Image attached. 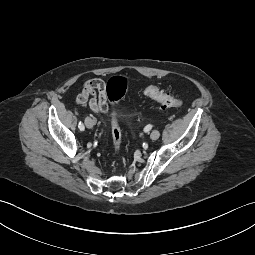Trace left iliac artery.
I'll return each instance as SVG.
<instances>
[{
    "mask_svg": "<svg viewBox=\"0 0 255 255\" xmlns=\"http://www.w3.org/2000/svg\"><path fill=\"white\" fill-rule=\"evenodd\" d=\"M152 129V126L151 125H147L145 128H144V132H148L149 130Z\"/></svg>",
    "mask_w": 255,
    "mask_h": 255,
    "instance_id": "44dca946",
    "label": "left iliac artery"
}]
</instances>
